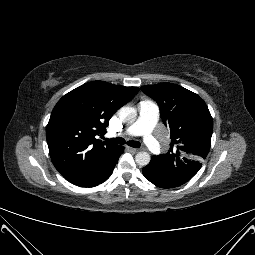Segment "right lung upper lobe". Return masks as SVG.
Instances as JSON below:
<instances>
[{
  "mask_svg": "<svg viewBox=\"0 0 255 255\" xmlns=\"http://www.w3.org/2000/svg\"><path fill=\"white\" fill-rule=\"evenodd\" d=\"M138 87H124L103 81L79 86L55 105L46 129L51 160L69 182L85 179L105 167L119 145L101 142L116 110L129 102Z\"/></svg>",
  "mask_w": 255,
  "mask_h": 255,
  "instance_id": "1",
  "label": "right lung upper lobe"
}]
</instances>
